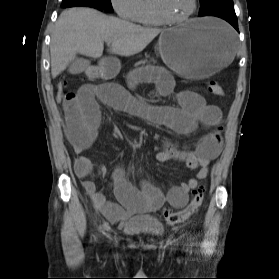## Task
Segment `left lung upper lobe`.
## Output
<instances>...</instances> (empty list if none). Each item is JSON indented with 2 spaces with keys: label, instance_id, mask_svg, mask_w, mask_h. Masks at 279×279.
Wrapping results in <instances>:
<instances>
[{
  "label": "left lung upper lobe",
  "instance_id": "5c2ea615",
  "mask_svg": "<svg viewBox=\"0 0 279 279\" xmlns=\"http://www.w3.org/2000/svg\"><path fill=\"white\" fill-rule=\"evenodd\" d=\"M200 4L199 16H206L221 9H234L233 0H200Z\"/></svg>",
  "mask_w": 279,
  "mask_h": 279
}]
</instances>
